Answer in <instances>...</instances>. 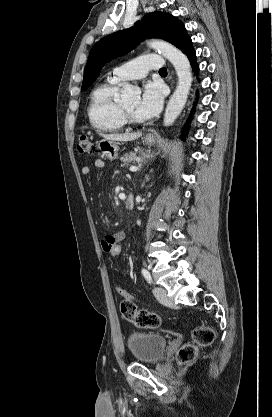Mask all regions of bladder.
<instances>
[{"mask_svg": "<svg viewBox=\"0 0 272 417\" xmlns=\"http://www.w3.org/2000/svg\"><path fill=\"white\" fill-rule=\"evenodd\" d=\"M127 346L137 362L155 363L163 357L167 339L159 334L134 332L129 335Z\"/></svg>", "mask_w": 272, "mask_h": 417, "instance_id": "obj_1", "label": "bladder"}]
</instances>
